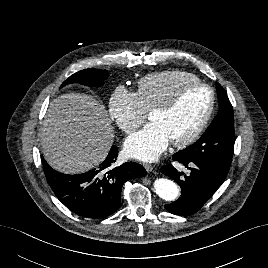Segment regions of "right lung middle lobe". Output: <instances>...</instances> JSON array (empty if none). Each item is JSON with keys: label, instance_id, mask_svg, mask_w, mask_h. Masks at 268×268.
<instances>
[{"label": "right lung middle lobe", "instance_id": "right-lung-middle-lobe-1", "mask_svg": "<svg viewBox=\"0 0 268 268\" xmlns=\"http://www.w3.org/2000/svg\"><path fill=\"white\" fill-rule=\"evenodd\" d=\"M107 76H108L107 70L89 68L79 71L70 76L66 81L63 82L61 87L75 82L87 86H100L103 80Z\"/></svg>", "mask_w": 268, "mask_h": 268}]
</instances>
